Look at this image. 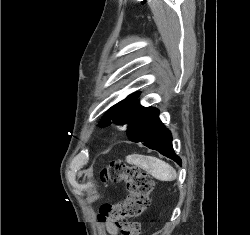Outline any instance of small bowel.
Instances as JSON below:
<instances>
[{"instance_id":"c3829d8e","label":"small bowel","mask_w":250,"mask_h":235,"mask_svg":"<svg viewBox=\"0 0 250 235\" xmlns=\"http://www.w3.org/2000/svg\"><path fill=\"white\" fill-rule=\"evenodd\" d=\"M106 228L111 235H118V228L115 225H106Z\"/></svg>"}]
</instances>
